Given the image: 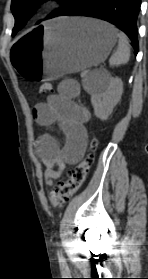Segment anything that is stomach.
<instances>
[{"label":"stomach","mask_w":148,"mask_h":279,"mask_svg":"<svg viewBox=\"0 0 148 279\" xmlns=\"http://www.w3.org/2000/svg\"><path fill=\"white\" fill-rule=\"evenodd\" d=\"M117 41L100 20L62 17L40 24L13 42L10 59L19 82H54L102 63Z\"/></svg>","instance_id":"obj_1"}]
</instances>
